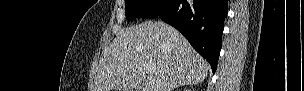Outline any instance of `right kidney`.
<instances>
[{
  "label": "right kidney",
  "mask_w": 304,
  "mask_h": 91,
  "mask_svg": "<svg viewBox=\"0 0 304 91\" xmlns=\"http://www.w3.org/2000/svg\"><path fill=\"white\" fill-rule=\"evenodd\" d=\"M185 91H192L191 89H186Z\"/></svg>",
  "instance_id": "obj_1"
}]
</instances>
